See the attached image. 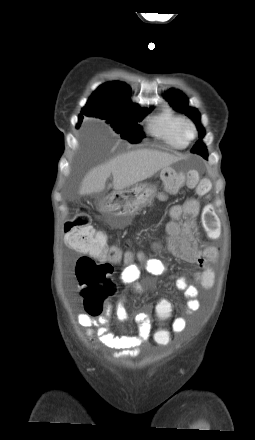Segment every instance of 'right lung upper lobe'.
<instances>
[{"label":"right lung upper lobe","mask_w":255,"mask_h":440,"mask_svg":"<svg viewBox=\"0 0 255 440\" xmlns=\"http://www.w3.org/2000/svg\"><path fill=\"white\" fill-rule=\"evenodd\" d=\"M131 89L123 82H109L101 85L89 98V101L106 105L122 106L130 102ZM80 118V115H79Z\"/></svg>","instance_id":"right-lung-upper-lobe-1"}]
</instances>
